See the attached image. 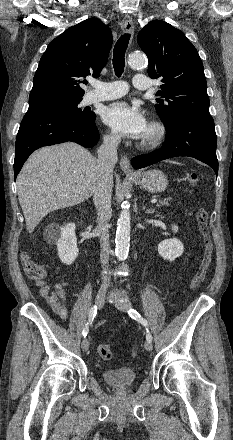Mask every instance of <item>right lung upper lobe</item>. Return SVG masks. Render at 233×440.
I'll use <instances>...</instances> for the list:
<instances>
[{
	"label": "right lung upper lobe",
	"instance_id": "right-lung-upper-lobe-1",
	"mask_svg": "<svg viewBox=\"0 0 233 440\" xmlns=\"http://www.w3.org/2000/svg\"><path fill=\"white\" fill-rule=\"evenodd\" d=\"M112 45L110 29L90 18L68 28L48 45L33 79L29 105L61 98H82L80 84L98 77Z\"/></svg>",
	"mask_w": 233,
	"mask_h": 440
}]
</instances>
